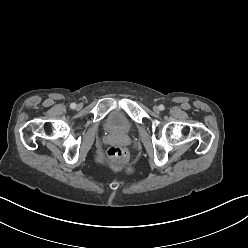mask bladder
Wrapping results in <instances>:
<instances>
[{"label":"bladder","instance_id":"31cf9c89","mask_svg":"<svg viewBox=\"0 0 248 248\" xmlns=\"http://www.w3.org/2000/svg\"><path fill=\"white\" fill-rule=\"evenodd\" d=\"M104 128L110 133H128L133 130L134 124L126 115L123 108L116 107L106 116Z\"/></svg>","mask_w":248,"mask_h":248}]
</instances>
